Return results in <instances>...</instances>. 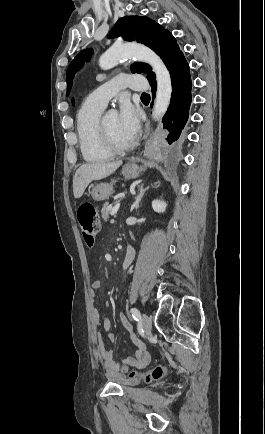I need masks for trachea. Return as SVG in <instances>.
<instances>
[{"label":"trachea","mask_w":265,"mask_h":434,"mask_svg":"<svg viewBox=\"0 0 265 434\" xmlns=\"http://www.w3.org/2000/svg\"><path fill=\"white\" fill-rule=\"evenodd\" d=\"M141 97L142 98H150V96L148 94H146V93H143Z\"/></svg>","instance_id":"3493384b"}]
</instances>
